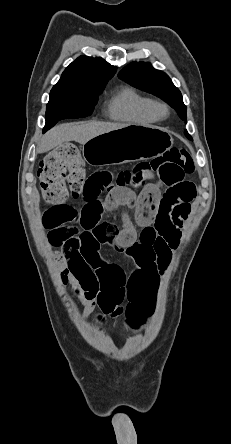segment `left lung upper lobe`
Wrapping results in <instances>:
<instances>
[{
	"label": "left lung upper lobe",
	"mask_w": 231,
	"mask_h": 444,
	"mask_svg": "<svg viewBox=\"0 0 231 444\" xmlns=\"http://www.w3.org/2000/svg\"><path fill=\"white\" fill-rule=\"evenodd\" d=\"M118 77L138 89L162 98L183 120H186L187 108L183 103L181 92L166 73L154 69L150 63L132 62L119 73ZM185 135L192 140L187 131Z\"/></svg>",
	"instance_id": "5c2ea615"
}]
</instances>
